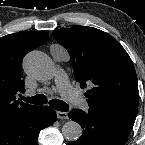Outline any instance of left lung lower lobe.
Returning <instances> with one entry per match:
<instances>
[{
  "instance_id": "obj_1",
  "label": "left lung lower lobe",
  "mask_w": 145,
  "mask_h": 145,
  "mask_svg": "<svg viewBox=\"0 0 145 145\" xmlns=\"http://www.w3.org/2000/svg\"><path fill=\"white\" fill-rule=\"evenodd\" d=\"M137 110L127 108L73 109L69 118L84 129L82 136L69 145H124L132 131Z\"/></svg>"
}]
</instances>
